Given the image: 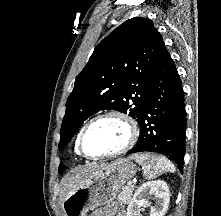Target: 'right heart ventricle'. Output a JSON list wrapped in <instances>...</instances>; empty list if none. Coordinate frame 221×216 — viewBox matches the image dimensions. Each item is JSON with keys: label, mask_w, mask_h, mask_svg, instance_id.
<instances>
[{"label": "right heart ventricle", "mask_w": 221, "mask_h": 216, "mask_svg": "<svg viewBox=\"0 0 221 216\" xmlns=\"http://www.w3.org/2000/svg\"><path fill=\"white\" fill-rule=\"evenodd\" d=\"M75 152L78 154V148H77V140H76V143H75Z\"/></svg>", "instance_id": "right-heart-ventricle-1"}]
</instances>
